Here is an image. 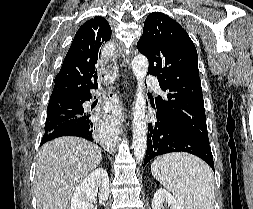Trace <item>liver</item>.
Returning <instances> with one entry per match:
<instances>
[{
    "label": "liver",
    "instance_id": "1",
    "mask_svg": "<svg viewBox=\"0 0 253 209\" xmlns=\"http://www.w3.org/2000/svg\"><path fill=\"white\" fill-rule=\"evenodd\" d=\"M101 160L98 146L79 137H60L44 144L36 164L37 209H70L77 186Z\"/></svg>",
    "mask_w": 253,
    "mask_h": 209
}]
</instances>
